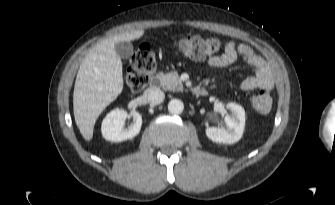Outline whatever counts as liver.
<instances>
[{
	"mask_svg": "<svg viewBox=\"0 0 335 205\" xmlns=\"http://www.w3.org/2000/svg\"><path fill=\"white\" fill-rule=\"evenodd\" d=\"M143 35L141 29L107 38L83 59L75 81L73 110L76 125L86 141L92 139L99 115L123 90L122 62L115 45Z\"/></svg>",
	"mask_w": 335,
	"mask_h": 205,
	"instance_id": "obj_1",
	"label": "liver"
}]
</instances>
